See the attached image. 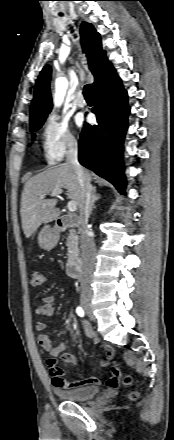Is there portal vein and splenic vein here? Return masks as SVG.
<instances>
[{"label":"portal vein and splenic vein","instance_id":"portal-vein-and-splenic-vein-1","mask_svg":"<svg viewBox=\"0 0 174 440\" xmlns=\"http://www.w3.org/2000/svg\"><path fill=\"white\" fill-rule=\"evenodd\" d=\"M62 193H63V191H62L61 189H56V190H54L53 192H51V196H52V197H54V196H58V195H60V194H62ZM40 198L44 199V198H45V195H41ZM67 208H68V210H69L70 212H75V211L77 210V204H76V202H74V201H69L68 204H67Z\"/></svg>","mask_w":174,"mask_h":440}]
</instances>
